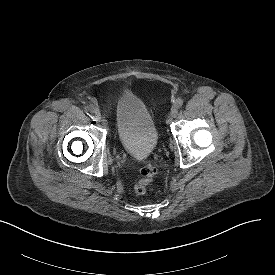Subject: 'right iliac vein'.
Wrapping results in <instances>:
<instances>
[{"label":"right iliac vein","instance_id":"63e3f726","mask_svg":"<svg viewBox=\"0 0 275 275\" xmlns=\"http://www.w3.org/2000/svg\"><path fill=\"white\" fill-rule=\"evenodd\" d=\"M94 116L97 120L101 119V113H100L99 109L96 108V107H95V110H94Z\"/></svg>","mask_w":275,"mask_h":275}]
</instances>
